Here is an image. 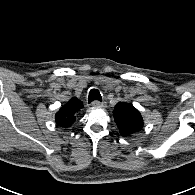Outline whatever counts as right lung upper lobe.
<instances>
[{"mask_svg":"<svg viewBox=\"0 0 195 195\" xmlns=\"http://www.w3.org/2000/svg\"><path fill=\"white\" fill-rule=\"evenodd\" d=\"M82 108L83 103L75 97L72 98L56 113L55 118L57 125L62 127H70L76 120V113Z\"/></svg>","mask_w":195,"mask_h":195,"instance_id":"1","label":"right lung upper lobe"}]
</instances>
